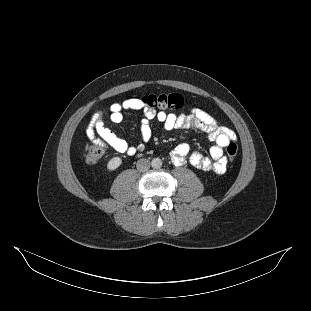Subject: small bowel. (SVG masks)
Returning a JSON list of instances; mask_svg holds the SVG:
<instances>
[{
	"label": "small bowel",
	"instance_id": "obj_1",
	"mask_svg": "<svg viewBox=\"0 0 311 311\" xmlns=\"http://www.w3.org/2000/svg\"><path fill=\"white\" fill-rule=\"evenodd\" d=\"M125 110L140 111L143 114L141 134L144 142H148L152 137L151 121L155 119L162 123L166 131L192 128L207 134L214 143L210 149V157L203 156L197 152L190 153L189 145L181 143L172 151V160L177 164H182L188 157L190 164L197 169L212 171L216 174H223L226 171L228 161L224 155V148L236 140V135L232 130L221 126L214 117L204 110L193 108L189 114H166L157 112L141 99L131 98L113 103L110 106L109 118L111 122L114 124L121 123L123 111ZM103 117L104 112H95L87 127L86 134L94 144L129 155H133L142 149V145L135 147L107 128L103 122Z\"/></svg>",
	"mask_w": 311,
	"mask_h": 311
}]
</instances>
